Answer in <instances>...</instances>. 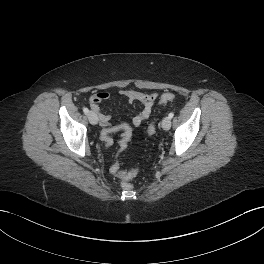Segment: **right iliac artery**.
<instances>
[{
  "label": "right iliac artery",
  "instance_id": "1",
  "mask_svg": "<svg viewBox=\"0 0 264 264\" xmlns=\"http://www.w3.org/2000/svg\"><path fill=\"white\" fill-rule=\"evenodd\" d=\"M83 112H84L85 114H88V113H89V109L86 108V107H84V108H83Z\"/></svg>",
  "mask_w": 264,
  "mask_h": 264
}]
</instances>
